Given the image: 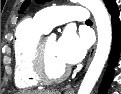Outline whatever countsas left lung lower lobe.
<instances>
[{"instance_id":"obj_1","label":"left lung lower lobe","mask_w":121,"mask_h":94,"mask_svg":"<svg viewBox=\"0 0 121 94\" xmlns=\"http://www.w3.org/2000/svg\"><path fill=\"white\" fill-rule=\"evenodd\" d=\"M108 12L111 15L113 39L109 65L105 72V76L103 78L99 94H106V90L113 78V69L114 66L117 64L121 48V24L119 21V9L117 4L114 3L112 6H110L108 8Z\"/></svg>"}]
</instances>
